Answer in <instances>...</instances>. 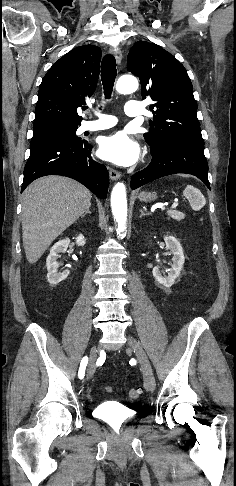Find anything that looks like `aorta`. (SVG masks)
<instances>
[{"instance_id": "obj_1", "label": "aorta", "mask_w": 236, "mask_h": 486, "mask_svg": "<svg viewBox=\"0 0 236 486\" xmlns=\"http://www.w3.org/2000/svg\"><path fill=\"white\" fill-rule=\"evenodd\" d=\"M138 81L133 76H122L118 79L116 90L121 94H129L136 91ZM111 208L114 219L118 223V231L125 232L127 221V200L124 183H117L111 193Z\"/></svg>"}]
</instances>
